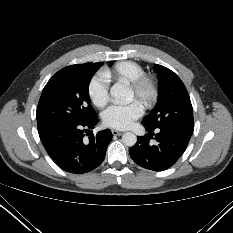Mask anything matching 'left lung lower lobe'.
I'll use <instances>...</instances> for the list:
<instances>
[{"instance_id":"left-lung-lower-lobe-1","label":"left lung lower lobe","mask_w":233,"mask_h":233,"mask_svg":"<svg viewBox=\"0 0 233 233\" xmlns=\"http://www.w3.org/2000/svg\"><path fill=\"white\" fill-rule=\"evenodd\" d=\"M149 135L138 137L130 149L132 160L139 166L153 171L170 168L184 153L193 134L192 130L181 128H161L155 135L157 143H150L154 135L152 129L145 127Z\"/></svg>"}]
</instances>
